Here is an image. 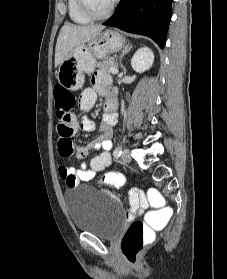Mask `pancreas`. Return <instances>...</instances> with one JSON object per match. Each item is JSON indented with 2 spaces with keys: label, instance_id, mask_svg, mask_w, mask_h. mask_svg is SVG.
<instances>
[{
  "label": "pancreas",
  "instance_id": "pancreas-1",
  "mask_svg": "<svg viewBox=\"0 0 227 279\" xmlns=\"http://www.w3.org/2000/svg\"><path fill=\"white\" fill-rule=\"evenodd\" d=\"M97 67L100 70L111 73L110 69L112 67L117 68V63L112 58H105L101 62L98 63Z\"/></svg>",
  "mask_w": 227,
  "mask_h": 279
}]
</instances>
